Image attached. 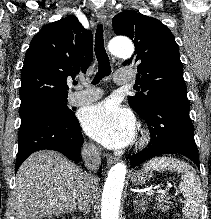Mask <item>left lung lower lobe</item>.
Instances as JSON below:
<instances>
[{"instance_id":"0a47b994","label":"left lung lower lobe","mask_w":211,"mask_h":219,"mask_svg":"<svg viewBox=\"0 0 211 219\" xmlns=\"http://www.w3.org/2000/svg\"><path fill=\"white\" fill-rule=\"evenodd\" d=\"M141 117L149 127L151 141L147 148L131 157L132 166L162 154H182L199 167L198 150L194 140L193 124L189 117L187 98L158 99Z\"/></svg>"}]
</instances>
